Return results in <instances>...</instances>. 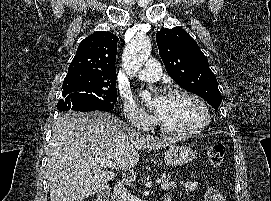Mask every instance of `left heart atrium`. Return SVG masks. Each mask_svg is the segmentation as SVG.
<instances>
[{"mask_svg":"<svg viewBox=\"0 0 271 201\" xmlns=\"http://www.w3.org/2000/svg\"><path fill=\"white\" fill-rule=\"evenodd\" d=\"M162 102H163V98L161 96H156L151 101L150 106L155 112H157L160 109Z\"/></svg>","mask_w":271,"mask_h":201,"instance_id":"obj_1","label":"left heart atrium"}]
</instances>
